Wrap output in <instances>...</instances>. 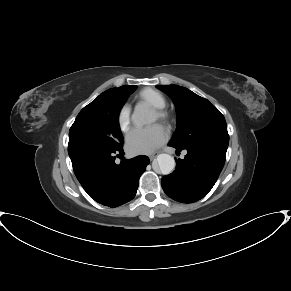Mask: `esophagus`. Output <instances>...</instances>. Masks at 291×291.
Returning a JSON list of instances; mask_svg holds the SVG:
<instances>
[{"mask_svg":"<svg viewBox=\"0 0 291 291\" xmlns=\"http://www.w3.org/2000/svg\"><path fill=\"white\" fill-rule=\"evenodd\" d=\"M157 155H158V153H153V154L149 155V159L153 160L154 158H156Z\"/></svg>","mask_w":291,"mask_h":291,"instance_id":"1","label":"esophagus"}]
</instances>
